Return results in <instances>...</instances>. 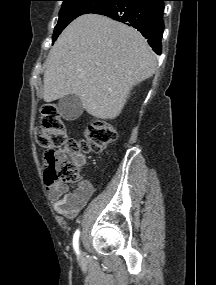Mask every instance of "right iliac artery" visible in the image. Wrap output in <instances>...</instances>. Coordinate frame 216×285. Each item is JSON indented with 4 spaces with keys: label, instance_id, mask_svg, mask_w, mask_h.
I'll return each mask as SVG.
<instances>
[{
    "label": "right iliac artery",
    "instance_id": "82829eb1",
    "mask_svg": "<svg viewBox=\"0 0 216 285\" xmlns=\"http://www.w3.org/2000/svg\"><path fill=\"white\" fill-rule=\"evenodd\" d=\"M79 236H80V231L76 230L73 236V247L77 254H79V244H78Z\"/></svg>",
    "mask_w": 216,
    "mask_h": 285
}]
</instances>
